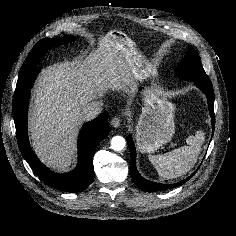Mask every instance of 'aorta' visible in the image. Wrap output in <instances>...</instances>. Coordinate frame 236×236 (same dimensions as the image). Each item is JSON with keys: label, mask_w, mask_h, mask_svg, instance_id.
Returning <instances> with one entry per match:
<instances>
[{"label": "aorta", "mask_w": 236, "mask_h": 236, "mask_svg": "<svg viewBox=\"0 0 236 236\" xmlns=\"http://www.w3.org/2000/svg\"><path fill=\"white\" fill-rule=\"evenodd\" d=\"M126 141L122 136H114L111 139V147L115 151H121L125 148Z\"/></svg>", "instance_id": "obj_1"}]
</instances>
